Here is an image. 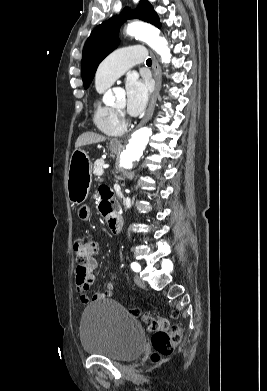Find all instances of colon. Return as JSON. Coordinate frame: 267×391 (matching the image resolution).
Returning a JSON list of instances; mask_svg holds the SVG:
<instances>
[{"instance_id": "1", "label": "colon", "mask_w": 267, "mask_h": 391, "mask_svg": "<svg viewBox=\"0 0 267 391\" xmlns=\"http://www.w3.org/2000/svg\"><path fill=\"white\" fill-rule=\"evenodd\" d=\"M73 250L76 255L77 269L82 272L89 271L94 257L98 253L97 242L93 239L79 237L73 243ZM130 313L135 317H139L146 329L152 334L153 352L151 360L153 362H158L172 353L182 337L180 327L171 329L169 320L156 314H141L138 309H132ZM171 315L175 317L176 313L172 312Z\"/></svg>"}]
</instances>
